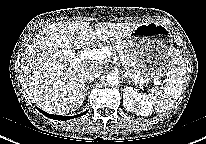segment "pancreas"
Instances as JSON below:
<instances>
[{
    "label": "pancreas",
    "mask_w": 206,
    "mask_h": 144,
    "mask_svg": "<svg viewBox=\"0 0 206 144\" xmlns=\"http://www.w3.org/2000/svg\"><path fill=\"white\" fill-rule=\"evenodd\" d=\"M113 50H116L121 54L127 62V71L132 73L134 76H137L139 80L141 79V73L136 65V60L132 57L130 52L127 49V46L122 41H117L113 44Z\"/></svg>",
    "instance_id": "cf45deb5"
}]
</instances>
